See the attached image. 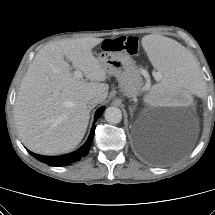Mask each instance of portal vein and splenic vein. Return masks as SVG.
<instances>
[{"mask_svg": "<svg viewBox=\"0 0 215 215\" xmlns=\"http://www.w3.org/2000/svg\"><path fill=\"white\" fill-rule=\"evenodd\" d=\"M74 75H75V77H77V78H82V77H83V74H82V72H81L79 69H76V70L74 71ZM158 78H159V79L161 78V75H160V74L158 75Z\"/></svg>", "mask_w": 215, "mask_h": 215, "instance_id": "1", "label": "portal vein and splenic vein"}]
</instances>
